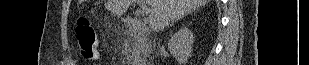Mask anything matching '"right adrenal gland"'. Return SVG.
Returning a JSON list of instances; mask_svg holds the SVG:
<instances>
[{"instance_id": "right-adrenal-gland-1", "label": "right adrenal gland", "mask_w": 309, "mask_h": 65, "mask_svg": "<svg viewBox=\"0 0 309 65\" xmlns=\"http://www.w3.org/2000/svg\"><path fill=\"white\" fill-rule=\"evenodd\" d=\"M177 20H178V19H177ZM177 20L173 21L172 24L170 25V27H171Z\"/></svg>"}]
</instances>
